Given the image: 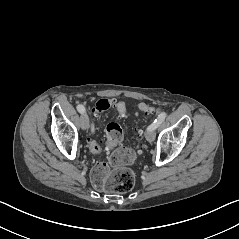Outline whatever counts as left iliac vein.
Wrapping results in <instances>:
<instances>
[{
    "label": "left iliac vein",
    "mask_w": 239,
    "mask_h": 239,
    "mask_svg": "<svg viewBox=\"0 0 239 239\" xmlns=\"http://www.w3.org/2000/svg\"><path fill=\"white\" fill-rule=\"evenodd\" d=\"M145 137H146L147 141H149V142L154 141V139L156 137V133H155L154 129L147 130Z\"/></svg>",
    "instance_id": "1"
}]
</instances>
